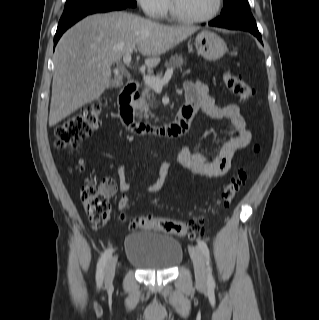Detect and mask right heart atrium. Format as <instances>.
Instances as JSON below:
<instances>
[{
  "label": "right heart atrium",
  "instance_id": "obj_1",
  "mask_svg": "<svg viewBox=\"0 0 319 320\" xmlns=\"http://www.w3.org/2000/svg\"><path fill=\"white\" fill-rule=\"evenodd\" d=\"M143 11L154 18L163 17L169 7L168 0H137Z\"/></svg>",
  "mask_w": 319,
  "mask_h": 320
}]
</instances>
